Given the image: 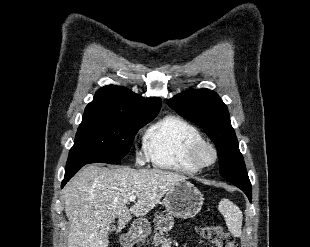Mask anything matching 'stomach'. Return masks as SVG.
I'll return each mask as SVG.
<instances>
[{
	"mask_svg": "<svg viewBox=\"0 0 310 247\" xmlns=\"http://www.w3.org/2000/svg\"><path fill=\"white\" fill-rule=\"evenodd\" d=\"M203 194L191 182L182 181L170 189L163 200L165 215H157L156 228L162 232L170 231L174 218H193L201 210ZM132 238L144 240L151 232L150 223L143 218L135 220L132 226Z\"/></svg>",
	"mask_w": 310,
	"mask_h": 247,
	"instance_id": "stomach-1",
	"label": "stomach"
}]
</instances>
